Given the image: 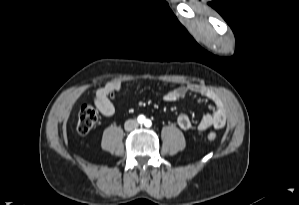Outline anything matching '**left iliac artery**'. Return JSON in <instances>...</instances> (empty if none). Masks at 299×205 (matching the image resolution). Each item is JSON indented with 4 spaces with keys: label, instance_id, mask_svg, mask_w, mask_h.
Segmentation results:
<instances>
[{
    "label": "left iliac artery",
    "instance_id": "obj_1",
    "mask_svg": "<svg viewBox=\"0 0 299 205\" xmlns=\"http://www.w3.org/2000/svg\"><path fill=\"white\" fill-rule=\"evenodd\" d=\"M152 125V122L150 120L145 121V126L150 127Z\"/></svg>",
    "mask_w": 299,
    "mask_h": 205
}]
</instances>
